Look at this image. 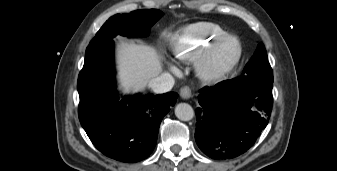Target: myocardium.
<instances>
[{"mask_svg": "<svg viewBox=\"0 0 337 171\" xmlns=\"http://www.w3.org/2000/svg\"><path fill=\"white\" fill-rule=\"evenodd\" d=\"M233 43L235 55L222 67H215L212 58L216 51L226 43ZM243 56V46L241 40L232 34H227L211 42L196 58L195 70L200 79L206 82H220L226 79L237 67Z\"/></svg>", "mask_w": 337, "mask_h": 171, "instance_id": "f54148a6", "label": "myocardium"}]
</instances>
